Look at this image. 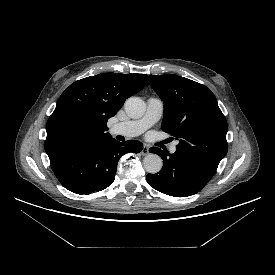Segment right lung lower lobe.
Wrapping results in <instances>:
<instances>
[{
	"instance_id": "obj_1",
	"label": "right lung lower lobe",
	"mask_w": 275,
	"mask_h": 275,
	"mask_svg": "<svg viewBox=\"0 0 275 275\" xmlns=\"http://www.w3.org/2000/svg\"><path fill=\"white\" fill-rule=\"evenodd\" d=\"M143 144L137 140L125 143L110 138L49 157L51 168L60 183L77 194H91L110 186L120 157L139 153Z\"/></svg>"
}]
</instances>
